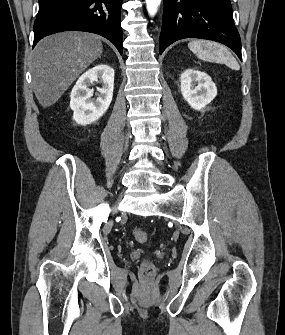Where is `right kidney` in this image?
<instances>
[{"label":"right kidney","mask_w":285,"mask_h":335,"mask_svg":"<svg viewBox=\"0 0 285 335\" xmlns=\"http://www.w3.org/2000/svg\"><path fill=\"white\" fill-rule=\"evenodd\" d=\"M101 82L102 88H97L98 98L94 100L93 90H90L92 82ZM114 70L107 64H98L77 80L70 100V108L73 110V120L76 124L87 126L99 120L107 112L113 98Z\"/></svg>","instance_id":"obj_1"}]
</instances>
